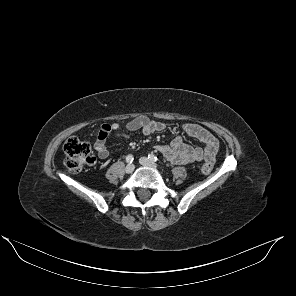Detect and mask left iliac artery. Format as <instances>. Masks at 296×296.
Masks as SVG:
<instances>
[{
	"mask_svg": "<svg viewBox=\"0 0 296 296\" xmlns=\"http://www.w3.org/2000/svg\"><path fill=\"white\" fill-rule=\"evenodd\" d=\"M148 159H150L152 162H158V158L154 154H149Z\"/></svg>",
	"mask_w": 296,
	"mask_h": 296,
	"instance_id": "left-iliac-artery-1",
	"label": "left iliac artery"
}]
</instances>
